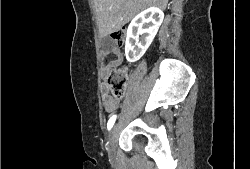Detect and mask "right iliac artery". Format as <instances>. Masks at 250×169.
<instances>
[{"label": "right iliac artery", "mask_w": 250, "mask_h": 169, "mask_svg": "<svg viewBox=\"0 0 250 169\" xmlns=\"http://www.w3.org/2000/svg\"><path fill=\"white\" fill-rule=\"evenodd\" d=\"M115 120H116V115H113V116L109 119V121H108V123H107V128H108V130H110V129L113 127V125H114V123H115Z\"/></svg>", "instance_id": "right-iliac-artery-1"}]
</instances>
